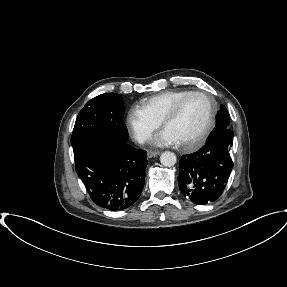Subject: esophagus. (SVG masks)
Segmentation results:
<instances>
[{"label":"esophagus","mask_w":287,"mask_h":287,"mask_svg":"<svg viewBox=\"0 0 287 287\" xmlns=\"http://www.w3.org/2000/svg\"><path fill=\"white\" fill-rule=\"evenodd\" d=\"M159 154H160L159 151H149L148 152V157L152 158V157L158 156Z\"/></svg>","instance_id":"obj_1"}]
</instances>
